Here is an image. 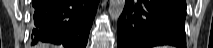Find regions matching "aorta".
Listing matches in <instances>:
<instances>
[{
    "label": "aorta",
    "instance_id": "762f6f07",
    "mask_svg": "<svg viewBox=\"0 0 213 48\" xmlns=\"http://www.w3.org/2000/svg\"><path fill=\"white\" fill-rule=\"evenodd\" d=\"M125 0H110L109 16L112 21H117L123 12Z\"/></svg>",
    "mask_w": 213,
    "mask_h": 48
}]
</instances>
